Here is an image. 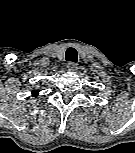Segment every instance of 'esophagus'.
I'll list each match as a JSON object with an SVG mask.
<instances>
[{"instance_id":"34e87169","label":"esophagus","mask_w":135,"mask_h":153,"mask_svg":"<svg viewBox=\"0 0 135 153\" xmlns=\"http://www.w3.org/2000/svg\"><path fill=\"white\" fill-rule=\"evenodd\" d=\"M67 68L70 70V71H76L77 70V64L74 63V62H69L67 64Z\"/></svg>"}]
</instances>
